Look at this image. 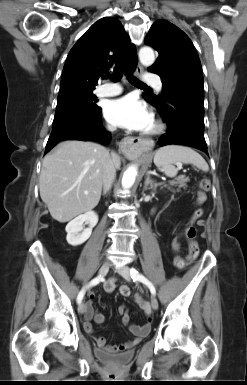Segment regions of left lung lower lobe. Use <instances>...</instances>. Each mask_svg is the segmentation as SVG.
<instances>
[{"mask_svg":"<svg viewBox=\"0 0 247 385\" xmlns=\"http://www.w3.org/2000/svg\"><path fill=\"white\" fill-rule=\"evenodd\" d=\"M168 131L158 140L160 146L180 144L198 148L207 153L204 139V106L180 95L167 98L158 109Z\"/></svg>","mask_w":247,"mask_h":385,"instance_id":"obj_1","label":"left lung lower lobe"}]
</instances>
